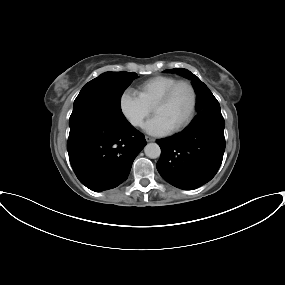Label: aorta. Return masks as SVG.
<instances>
[{"mask_svg":"<svg viewBox=\"0 0 285 285\" xmlns=\"http://www.w3.org/2000/svg\"><path fill=\"white\" fill-rule=\"evenodd\" d=\"M145 155L151 159H156L161 154V149L157 143H148L144 148Z\"/></svg>","mask_w":285,"mask_h":285,"instance_id":"obj_1","label":"aorta"}]
</instances>
